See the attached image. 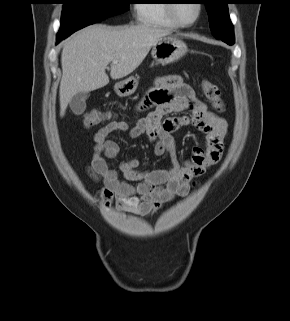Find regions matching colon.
Listing matches in <instances>:
<instances>
[{
	"label": "colon",
	"mask_w": 290,
	"mask_h": 321,
	"mask_svg": "<svg viewBox=\"0 0 290 321\" xmlns=\"http://www.w3.org/2000/svg\"><path fill=\"white\" fill-rule=\"evenodd\" d=\"M202 90L210 101L212 106L218 110L222 111L224 108V103L221 98V93L219 88L209 80H203L201 83ZM108 119V115L99 110H91L84 115V126L86 128L95 127Z\"/></svg>",
	"instance_id": "5ec220e1"
}]
</instances>
